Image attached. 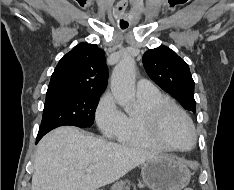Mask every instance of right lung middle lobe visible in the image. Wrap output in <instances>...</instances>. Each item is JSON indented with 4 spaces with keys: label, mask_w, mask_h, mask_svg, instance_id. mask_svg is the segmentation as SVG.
Instances as JSON below:
<instances>
[{
    "label": "right lung middle lobe",
    "mask_w": 234,
    "mask_h": 190,
    "mask_svg": "<svg viewBox=\"0 0 234 190\" xmlns=\"http://www.w3.org/2000/svg\"><path fill=\"white\" fill-rule=\"evenodd\" d=\"M100 94L48 89L38 135L59 126L90 127Z\"/></svg>",
    "instance_id": "obj_1"
}]
</instances>
